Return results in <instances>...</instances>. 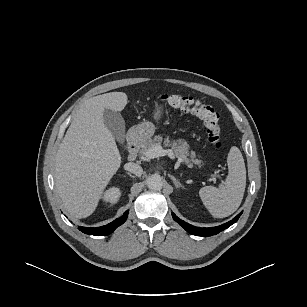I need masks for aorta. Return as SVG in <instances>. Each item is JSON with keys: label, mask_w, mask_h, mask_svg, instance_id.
Returning <instances> with one entry per match:
<instances>
[{"label": "aorta", "mask_w": 307, "mask_h": 307, "mask_svg": "<svg viewBox=\"0 0 307 307\" xmlns=\"http://www.w3.org/2000/svg\"><path fill=\"white\" fill-rule=\"evenodd\" d=\"M147 187L151 190H161L163 187L162 179L159 175H151L147 179Z\"/></svg>", "instance_id": "aorta-1"}]
</instances>
